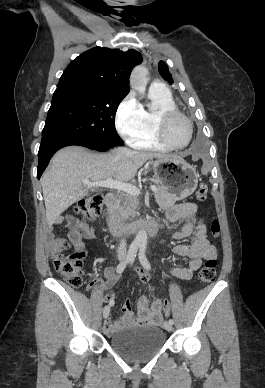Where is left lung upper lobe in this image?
<instances>
[{
    "instance_id": "5c2ea615",
    "label": "left lung upper lobe",
    "mask_w": 265,
    "mask_h": 388,
    "mask_svg": "<svg viewBox=\"0 0 265 388\" xmlns=\"http://www.w3.org/2000/svg\"><path fill=\"white\" fill-rule=\"evenodd\" d=\"M158 70H159V73L161 74V76L169 83V84H172L173 83V79H172V76L168 70V66L165 62L163 61H160L159 64H158Z\"/></svg>"
}]
</instances>
